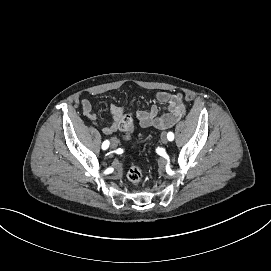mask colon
Wrapping results in <instances>:
<instances>
[{
	"label": "colon",
	"instance_id": "5ec220e1",
	"mask_svg": "<svg viewBox=\"0 0 271 271\" xmlns=\"http://www.w3.org/2000/svg\"><path fill=\"white\" fill-rule=\"evenodd\" d=\"M119 129L124 135L125 140H129L134 130V116L132 113L123 116L119 123ZM130 182L138 184L143 179V172L139 165L133 164L127 173Z\"/></svg>",
	"mask_w": 271,
	"mask_h": 271
}]
</instances>
